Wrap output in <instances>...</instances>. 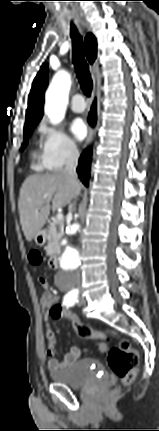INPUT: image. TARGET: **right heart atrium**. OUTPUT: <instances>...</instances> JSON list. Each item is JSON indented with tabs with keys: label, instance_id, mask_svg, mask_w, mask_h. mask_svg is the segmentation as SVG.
Segmentation results:
<instances>
[{
	"label": "right heart atrium",
	"instance_id": "d8ad5b80",
	"mask_svg": "<svg viewBox=\"0 0 159 431\" xmlns=\"http://www.w3.org/2000/svg\"><path fill=\"white\" fill-rule=\"evenodd\" d=\"M40 134V159L50 171H59L78 157L75 143L60 129L42 122L38 126Z\"/></svg>",
	"mask_w": 159,
	"mask_h": 431
}]
</instances>
